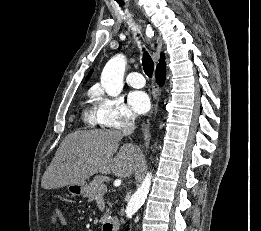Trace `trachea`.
<instances>
[{"label": "trachea", "mask_w": 261, "mask_h": 231, "mask_svg": "<svg viewBox=\"0 0 261 231\" xmlns=\"http://www.w3.org/2000/svg\"><path fill=\"white\" fill-rule=\"evenodd\" d=\"M119 4L121 6H123V3L120 0H119ZM142 65H143L145 74L148 77H152V74L154 71V62L147 51H144V53H143Z\"/></svg>", "instance_id": "obj_1"}]
</instances>
